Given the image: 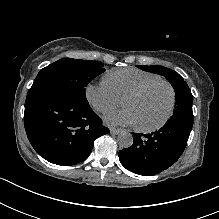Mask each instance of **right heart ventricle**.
Instances as JSON below:
<instances>
[{"label": "right heart ventricle", "mask_w": 219, "mask_h": 219, "mask_svg": "<svg viewBox=\"0 0 219 219\" xmlns=\"http://www.w3.org/2000/svg\"><path fill=\"white\" fill-rule=\"evenodd\" d=\"M160 78L161 77L157 74L134 67H128L109 72L104 80L108 83L115 97L120 100L142 84Z\"/></svg>", "instance_id": "right-heart-ventricle-1"}]
</instances>
